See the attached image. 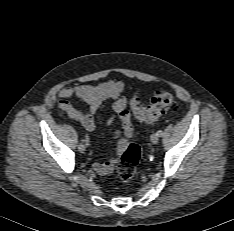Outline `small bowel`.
I'll use <instances>...</instances> for the list:
<instances>
[{
  "label": "small bowel",
  "instance_id": "1",
  "mask_svg": "<svg viewBox=\"0 0 234 231\" xmlns=\"http://www.w3.org/2000/svg\"><path fill=\"white\" fill-rule=\"evenodd\" d=\"M124 83L121 81H107L96 85H78L74 87H64L59 92L61 101L59 108L64 111L70 118L75 119L87 131H93L95 127L94 114L106 99H113L112 113L108 118V123H113L117 118L122 121V136L117 144V154L120 155L129 139L133 135V128L130 117L126 111L127 101L123 96ZM76 97L88 105L86 111L76 109L67 99ZM117 158H111L104 163L95 162L94 170L100 175H108L112 172Z\"/></svg>",
  "mask_w": 234,
  "mask_h": 231
}]
</instances>
